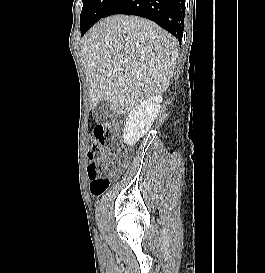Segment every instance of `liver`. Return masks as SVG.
I'll use <instances>...</instances> for the list:
<instances>
[{
  "mask_svg": "<svg viewBox=\"0 0 265 273\" xmlns=\"http://www.w3.org/2000/svg\"><path fill=\"white\" fill-rule=\"evenodd\" d=\"M177 56V40L148 19L114 15L100 20L81 46L90 109L106 100L115 113L126 114L163 94Z\"/></svg>",
  "mask_w": 265,
  "mask_h": 273,
  "instance_id": "liver-1",
  "label": "liver"
}]
</instances>
